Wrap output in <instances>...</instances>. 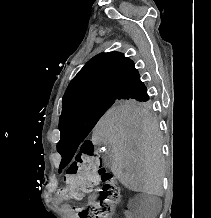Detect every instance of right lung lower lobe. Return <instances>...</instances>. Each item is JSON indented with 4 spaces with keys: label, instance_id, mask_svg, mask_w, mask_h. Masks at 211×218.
Listing matches in <instances>:
<instances>
[{
    "label": "right lung lower lobe",
    "instance_id": "right-lung-lower-lobe-1",
    "mask_svg": "<svg viewBox=\"0 0 211 218\" xmlns=\"http://www.w3.org/2000/svg\"><path fill=\"white\" fill-rule=\"evenodd\" d=\"M120 96L132 98H149L147 88L137 75L124 87Z\"/></svg>",
    "mask_w": 211,
    "mask_h": 218
}]
</instances>
